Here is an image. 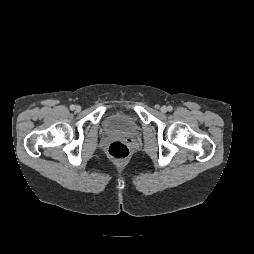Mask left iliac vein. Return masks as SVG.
<instances>
[{
	"mask_svg": "<svg viewBox=\"0 0 254 254\" xmlns=\"http://www.w3.org/2000/svg\"><path fill=\"white\" fill-rule=\"evenodd\" d=\"M167 111V108L165 106L161 107V112L165 113Z\"/></svg>",
	"mask_w": 254,
	"mask_h": 254,
	"instance_id": "4c4485c4",
	"label": "left iliac vein"
}]
</instances>
